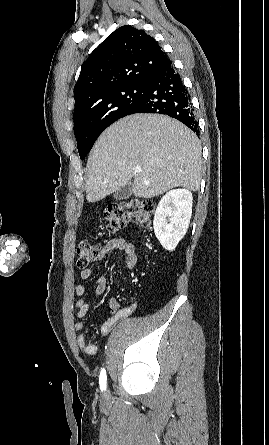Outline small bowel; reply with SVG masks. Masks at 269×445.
I'll list each match as a JSON object with an SVG mask.
<instances>
[{
	"mask_svg": "<svg viewBox=\"0 0 269 445\" xmlns=\"http://www.w3.org/2000/svg\"><path fill=\"white\" fill-rule=\"evenodd\" d=\"M113 250H119L125 260V265L128 271L132 270L137 262V254L134 245L124 239V238H115L106 242L100 250L99 259H103L106 255ZM92 276L91 269H84L80 273V277L83 280H87ZM125 278H123V281ZM106 288V279L104 277H100L96 281L94 294L95 296L101 295ZM75 293L80 298L76 301V315L78 318L85 317L90 308L91 303L87 301L84 296L86 294V287L83 284H78L75 287ZM109 306L111 309L112 315L107 318L99 327L100 333L102 336H106L109 334L111 329L121 320L130 316L136 309L137 305L135 302H131L126 307H120L119 303L116 299L111 298L109 300ZM85 328V324L83 321H78L75 325V329L78 332H82ZM77 344L81 350H83L86 354L93 355L97 352V346L94 342L87 340L85 334L79 333L77 335Z\"/></svg>",
	"mask_w": 269,
	"mask_h": 445,
	"instance_id": "obj_1",
	"label": "small bowel"
}]
</instances>
